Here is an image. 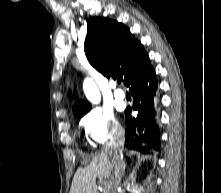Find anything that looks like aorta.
I'll list each match as a JSON object with an SVG mask.
<instances>
[{"label": "aorta", "mask_w": 221, "mask_h": 193, "mask_svg": "<svg viewBox=\"0 0 221 193\" xmlns=\"http://www.w3.org/2000/svg\"><path fill=\"white\" fill-rule=\"evenodd\" d=\"M83 90L87 97V99L93 104H98L101 100L100 92L94 83V81L90 78H86L83 83Z\"/></svg>", "instance_id": "obj_1"}]
</instances>
